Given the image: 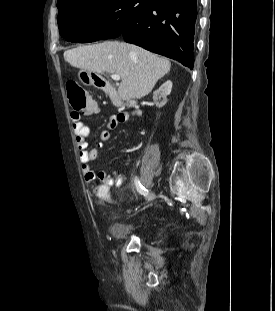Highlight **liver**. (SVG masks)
<instances>
[{"label":"liver","mask_w":275,"mask_h":311,"mask_svg":"<svg viewBox=\"0 0 275 311\" xmlns=\"http://www.w3.org/2000/svg\"><path fill=\"white\" fill-rule=\"evenodd\" d=\"M64 59L82 70L120 75L122 81L118 94L125 101L148 95L156 82L171 68L168 59L136 45L118 41L70 49L64 52Z\"/></svg>","instance_id":"6515ba94"}]
</instances>
